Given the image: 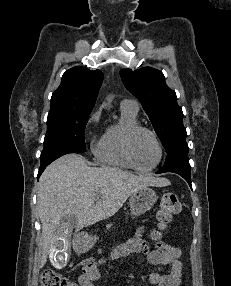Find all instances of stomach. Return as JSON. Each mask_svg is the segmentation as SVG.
Instances as JSON below:
<instances>
[{
	"mask_svg": "<svg viewBox=\"0 0 231 286\" xmlns=\"http://www.w3.org/2000/svg\"><path fill=\"white\" fill-rule=\"evenodd\" d=\"M157 201V195L154 190L145 187L132 193L129 198V206L131 214L140 216L150 210ZM97 237L91 236L87 240H81L78 244L80 251H87L96 242Z\"/></svg>",
	"mask_w": 231,
	"mask_h": 286,
	"instance_id": "obj_1",
	"label": "stomach"
}]
</instances>
